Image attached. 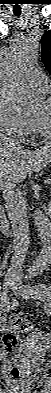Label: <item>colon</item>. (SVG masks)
<instances>
[{
  "instance_id": "obj_1",
  "label": "colon",
  "mask_w": 51,
  "mask_h": 393,
  "mask_svg": "<svg viewBox=\"0 0 51 393\" xmlns=\"http://www.w3.org/2000/svg\"><path fill=\"white\" fill-rule=\"evenodd\" d=\"M9 324L11 330L7 331L3 335V348L13 358L12 355L19 341V333H26L32 329V325L29 320L18 315H12L9 318ZM41 335V334H38ZM9 377L18 380L21 377V371L18 367L12 366L8 372Z\"/></svg>"
}]
</instances>
